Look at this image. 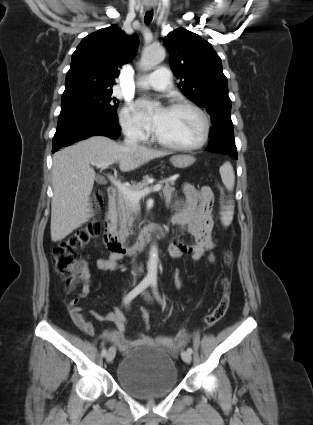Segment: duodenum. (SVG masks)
<instances>
[{
    "mask_svg": "<svg viewBox=\"0 0 313 425\" xmlns=\"http://www.w3.org/2000/svg\"><path fill=\"white\" fill-rule=\"evenodd\" d=\"M107 207L103 224V243L106 248L117 255H133L140 250L152 238H161L164 235L162 227H154L140 234L139 240L132 246L123 243L116 231V196L117 190L114 186L107 188Z\"/></svg>",
    "mask_w": 313,
    "mask_h": 425,
    "instance_id": "1",
    "label": "duodenum"
}]
</instances>
